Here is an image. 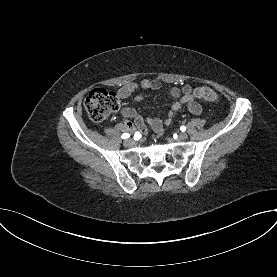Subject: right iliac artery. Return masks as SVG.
<instances>
[{
  "instance_id": "1",
  "label": "right iliac artery",
  "mask_w": 277,
  "mask_h": 277,
  "mask_svg": "<svg viewBox=\"0 0 277 277\" xmlns=\"http://www.w3.org/2000/svg\"><path fill=\"white\" fill-rule=\"evenodd\" d=\"M129 137H130V135H129L128 133L122 134V138H123V139H127V138H129Z\"/></svg>"
}]
</instances>
